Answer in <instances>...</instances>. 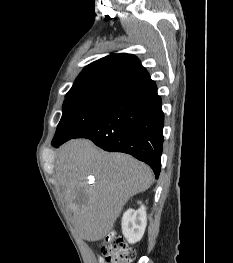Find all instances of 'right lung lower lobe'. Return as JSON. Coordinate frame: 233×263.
<instances>
[{
  "label": "right lung lower lobe",
  "mask_w": 233,
  "mask_h": 263,
  "mask_svg": "<svg viewBox=\"0 0 233 263\" xmlns=\"http://www.w3.org/2000/svg\"><path fill=\"white\" fill-rule=\"evenodd\" d=\"M161 106L156 84L149 80L119 94L97 121L73 138H88L106 151L131 154L147 163L158 178L164 126ZM65 141L52 144L58 147Z\"/></svg>",
  "instance_id": "1"
}]
</instances>
